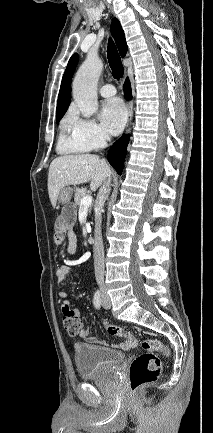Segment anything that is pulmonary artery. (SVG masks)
I'll return each instance as SVG.
<instances>
[{
	"mask_svg": "<svg viewBox=\"0 0 213 433\" xmlns=\"http://www.w3.org/2000/svg\"><path fill=\"white\" fill-rule=\"evenodd\" d=\"M100 94L103 97H112L116 94V89L112 84H106L101 87Z\"/></svg>",
	"mask_w": 213,
	"mask_h": 433,
	"instance_id": "1",
	"label": "pulmonary artery"
}]
</instances>
